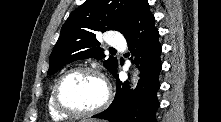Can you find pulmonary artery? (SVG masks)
Here are the masks:
<instances>
[{"instance_id": "obj_1", "label": "pulmonary artery", "mask_w": 221, "mask_h": 122, "mask_svg": "<svg viewBox=\"0 0 221 122\" xmlns=\"http://www.w3.org/2000/svg\"><path fill=\"white\" fill-rule=\"evenodd\" d=\"M109 44L110 46L117 49H125L126 47L125 39L119 34L113 35L109 40Z\"/></svg>"}]
</instances>
